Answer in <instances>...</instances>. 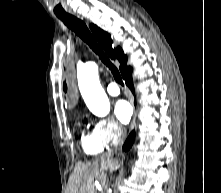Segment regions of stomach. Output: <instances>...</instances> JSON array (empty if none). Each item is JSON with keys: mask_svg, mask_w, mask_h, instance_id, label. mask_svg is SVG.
Masks as SVG:
<instances>
[{"mask_svg": "<svg viewBox=\"0 0 221 193\" xmlns=\"http://www.w3.org/2000/svg\"><path fill=\"white\" fill-rule=\"evenodd\" d=\"M63 103H68V107H75V103H78V98H63Z\"/></svg>", "mask_w": 221, "mask_h": 193, "instance_id": "1", "label": "stomach"}]
</instances>
